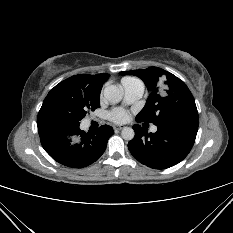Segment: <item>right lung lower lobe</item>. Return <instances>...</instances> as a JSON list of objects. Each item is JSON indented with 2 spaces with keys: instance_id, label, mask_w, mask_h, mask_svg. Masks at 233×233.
<instances>
[{
  "instance_id": "98d812e1",
  "label": "right lung lower lobe",
  "mask_w": 233,
  "mask_h": 233,
  "mask_svg": "<svg viewBox=\"0 0 233 233\" xmlns=\"http://www.w3.org/2000/svg\"><path fill=\"white\" fill-rule=\"evenodd\" d=\"M41 144L45 151L58 163L72 167H86L104 153L113 128L102 125L90 133L77 126L57 127L51 124L38 126Z\"/></svg>"
}]
</instances>
